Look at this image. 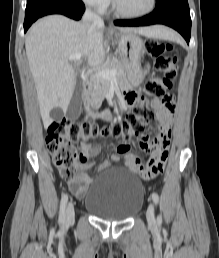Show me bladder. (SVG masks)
<instances>
[{"label":"bladder","mask_w":219,"mask_h":258,"mask_svg":"<svg viewBox=\"0 0 219 258\" xmlns=\"http://www.w3.org/2000/svg\"><path fill=\"white\" fill-rule=\"evenodd\" d=\"M144 186L132 171L113 168L94 178L83 205L93 215L109 221L132 217L142 206Z\"/></svg>","instance_id":"31cf9c89"}]
</instances>
